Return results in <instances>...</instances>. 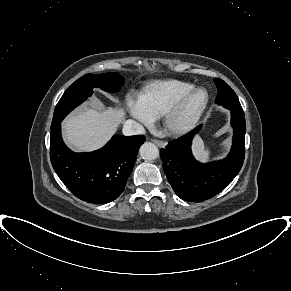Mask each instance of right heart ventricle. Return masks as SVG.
<instances>
[{"instance_id": "e07e8e85", "label": "right heart ventricle", "mask_w": 291, "mask_h": 291, "mask_svg": "<svg viewBox=\"0 0 291 291\" xmlns=\"http://www.w3.org/2000/svg\"><path fill=\"white\" fill-rule=\"evenodd\" d=\"M194 85L176 79L157 80L147 85L138 96V103L151 118L163 116L167 109Z\"/></svg>"}]
</instances>
